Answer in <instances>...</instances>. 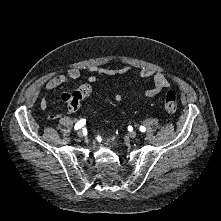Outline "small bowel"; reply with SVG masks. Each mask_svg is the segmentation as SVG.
<instances>
[{
	"mask_svg": "<svg viewBox=\"0 0 221 221\" xmlns=\"http://www.w3.org/2000/svg\"><path fill=\"white\" fill-rule=\"evenodd\" d=\"M131 69L132 68L130 66H123V67L116 68V69L91 66L89 68V71L91 74L87 78L88 84H83L79 88L83 86H89V84L95 83L97 79L101 76L118 77V76L129 73ZM80 76H81V71L78 68H71L63 74H59L50 78L45 83V89L48 91L55 90L62 85H65L71 81L77 80ZM138 76L142 79H151L154 83L153 88L147 89L144 91L145 98H153L157 96L163 89H166L170 86V81L164 74L155 72L151 69L140 70L138 72ZM79 88H77L76 90L72 92H63L59 95L60 100L67 104L70 111H73L75 109V106L72 104V98H73L74 93H76L77 90H79ZM114 100L116 102H120L122 100V95L117 94L114 97ZM48 106H49L48 100L43 98L40 101V108L42 110H45L48 108ZM59 117H60V113H56V112L50 113L47 116V118L52 121L58 119Z\"/></svg>",
	"mask_w": 221,
	"mask_h": 221,
	"instance_id": "c3829d8e",
	"label": "small bowel"
}]
</instances>
